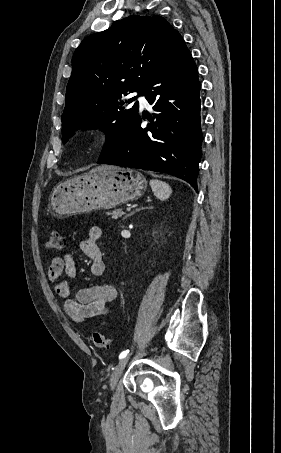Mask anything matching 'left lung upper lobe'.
<instances>
[{
	"instance_id": "1",
	"label": "left lung upper lobe",
	"mask_w": 281,
	"mask_h": 453,
	"mask_svg": "<svg viewBox=\"0 0 281 453\" xmlns=\"http://www.w3.org/2000/svg\"><path fill=\"white\" fill-rule=\"evenodd\" d=\"M180 35L161 16L131 15L111 28L86 37L74 52L72 74L62 114V137L73 131L101 128L111 150L138 116L139 103L126 108L147 86Z\"/></svg>"
}]
</instances>
